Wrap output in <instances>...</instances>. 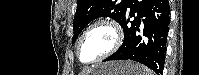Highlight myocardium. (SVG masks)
I'll return each mask as SVG.
<instances>
[{
    "mask_svg": "<svg viewBox=\"0 0 199 75\" xmlns=\"http://www.w3.org/2000/svg\"><path fill=\"white\" fill-rule=\"evenodd\" d=\"M97 27H105V28L109 29L113 34V43H112L111 47L106 52H104L102 55H100L98 58H96L90 62H84V61H82V59L80 57L81 44H82L84 38L89 34V32ZM122 41H123L122 29H121L120 25L114 19H111V18L97 19L94 22H92L81 34V36L77 42V45H76V57L79 60V62H81L82 64H85V65H91V64L98 63V62L106 59L113 53H115L121 46Z\"/></svg>",
    "mask_w": 199,
    "mask_h": 75,
    "instance_id": "myocardium-1",
    "label": "myocardium"
}]
</instances>
